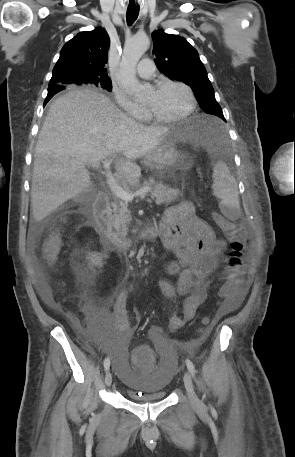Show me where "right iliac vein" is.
I'll return each mask as SVG.
<instances>
[{
    "label": "right iliac vein",
    "mask_w": 295,
    "mask_h": 457,
    "mask_svg": "<svg viewBox=\"0 0 295 457\" xmlns=\"http://www.w3.org/2000/svg\"><path fill=\"white\" fill-rule=\"evenodd\" d=\"M105 384L107 387H110L112 384V374L110 371H108L105 375Z\"/></svg>",
    "instance_id": "1"
}]
</instances>
